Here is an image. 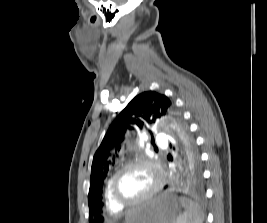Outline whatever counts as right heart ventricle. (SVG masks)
<instances>
[{"instance_id":"right-heart-ventricle-1","label":"right heart ventricle","mask_w":267,"mask_h":223,"mask_svg":"<svg viewBox=\"0 0 267 223\" xmlns=\"http://www.w3.org/2000/svg\"><path fill=\"white\" fill-rule=\"evenodd\" d=\"M109 182H110V179H108V181L106 182L105 189H104L105 206L111 214H119L124 210V207L119 206L113 200L111 193H110V189H109Z\"/></svg>"}]
</instances>
